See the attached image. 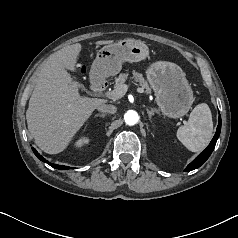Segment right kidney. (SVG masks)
Instances as JSON below:
<instances>
[{
  "instance_id": "ca27d5eb",
  "label": "right kidney",
  "mask_w": 238,
  "mask_h": 238,
  "mask_svg": "<svg viewBox=\"0 0 238 238\" xmlns=\"http://www.w3.org/2000/svg\"><path fill=\"white\" fill-rule=\"evenodd\" d=\"M88 143H89V139L87 137H82L75 142V146L82 147Z\"/></svg>"
}]
</instances>
